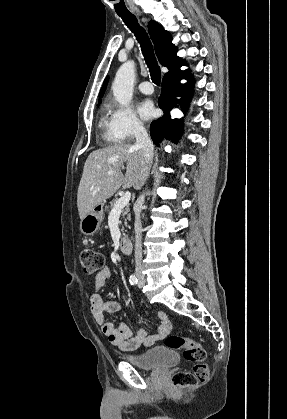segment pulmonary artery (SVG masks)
<instances>
[{"mask_svg": "<svg viewBox=\"0 0 287 419\" xmlns=\"http://www.w3.org/2000/svg\"><path fill=\"white\" fill-rule=\"evenodd\" d=\"M138 89L143 94H152L154 91L152 84L148 81L140 83Z\"/></svg>", "mask_w": 287, "mask_h": 419, "instance_id": "pulmonary-artery-1", "label": "pulmonary artery"}]
</instances>
